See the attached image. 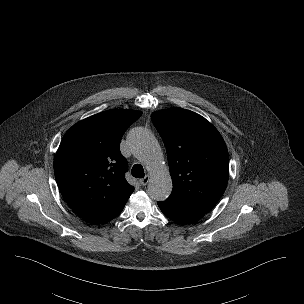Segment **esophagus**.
Segmentation results:
<instances>
[{
  "mask_svg": "<svg viewBox=\"0 0 304 304\" xmlns=\"http://www.w3.org/2000/svg\"><path fill=\"white\" fill-rule=\"evenodd\" d=\"M149 180H150V176H149V175H146L143 179L140 180V183H141L143 186H145V185L148 184Z\"/></svg>",
  "mask_w": 304,
  "mask_h": 304,
  "instance_id": "34e87169",
  "label": "esophagus"
}]
</instances>
